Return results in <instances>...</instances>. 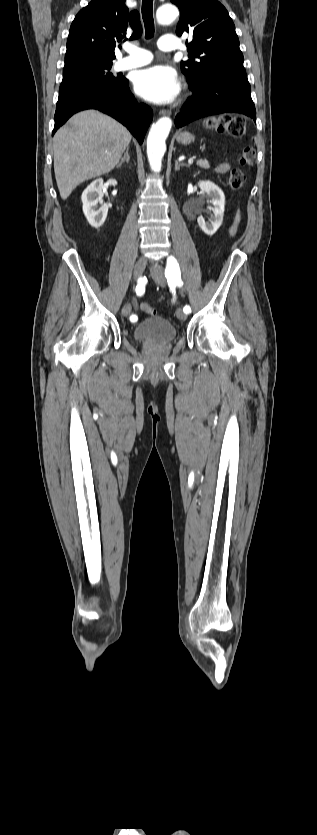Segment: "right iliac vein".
I'll return each instance as SVG.
<instances>
[{
  "instance_id": "obj_1",
  "label": "right iliac vein",
  "mask_w": 317,
  "mask_h": 835,
  "mask_svg": "<svg viewBox=\"0 0 317 835\" xmlns=\"http://www.w3.org/2000/svg\"><path fill=\"white\" fill-rule=\"evenodd\" d=\"M146 264H147V261H146L145 258H139L137 260V262L135 264V267H134V277L135 278H139L140 276H142V274H143V272L146 268ZM130 312H131L130 305H125L122 309V315L127 317V316H129Z\"/></svg>"
}]
</instances>
